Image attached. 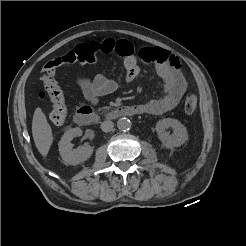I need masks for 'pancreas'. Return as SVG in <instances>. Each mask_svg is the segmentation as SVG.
<instances>
[{"instance_id": "cf45deb5", "label": "pancreas", "mask_w": 246, "mask_h": 246, "mask_svg": "<svg viewBox=\"0 0 246 246\" xmlns=\"http://www.w3.org/2000/svg\"><path fill=\"white\" fill-rule=\"evenodd\" d=\"M109 108L110 107H107V106L106 107H102V108H99V111H107V110H109Z\"/></svg>"}]
</instances>
